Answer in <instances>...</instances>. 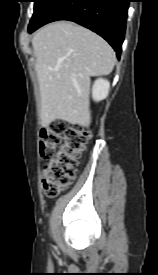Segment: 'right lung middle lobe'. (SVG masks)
I'll list each match as a JSON object with an SVG mask.
<instances>
[{
    "mask_svg": "<svg viewBox=\"0 0 158 275\" xmlns=\"http://www.w3.org/2000/svg\"><path fill=\"white\" fill-rule=\"evenodd\" d=\"M56 0H34V14L29 26L35 25Z\"/></svg>",
    "mask_w": 158,
    "mask_h": 275,
    "instance_id": "right-lung-middle-lobe-1",
    "label": "right lung middle lobe"
}]
</instances>
